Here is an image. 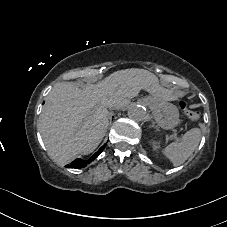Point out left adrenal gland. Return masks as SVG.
Listing matches in <instances>:
<instances>
[{"label":"left adrenal gland","instance_id":"1","mask_svg":"<svg viewBox=\"0 0 227 227\" xmlns=\"http://www.w3.org/2000/svg\"><path fill=\"white\" fill-rule=\"evenodd\" d=\"M152 127L156 128V130L159 131V127L155 125L154 121H152Z\"/></svg>","mask_w":227,"mask_h":227}]
</instances>
